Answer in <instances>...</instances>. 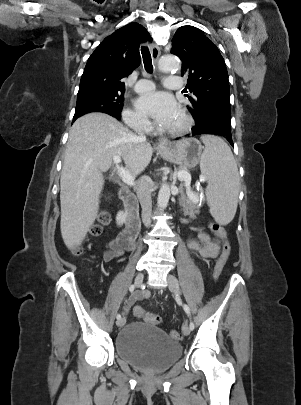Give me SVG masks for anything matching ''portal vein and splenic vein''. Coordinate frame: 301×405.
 Listing matches in <instances>:
<instances>
[{"label": "portal vein and splenic vein", "instance_id": "1", "mask_svg": "<svg viewBox=\"0 0 301 405\" xmlns=\"http://www.w3.org/2000/svg\"><path fill=\"white\" fill-rule=\"evenodd\" d=\"M113 162L116 165V170H117V174L118 176L122 179V181L127 184L128 186H134V176L127 171L123 166H120V162H121V157L120 156H114L113 158ZM177 177L178 180L180 181H185L187 184H190L191 181V175L187 172V171H179L177 172ZM204 179H201V181H203ZM187 194L189 196V198L194 201V202H199V197L194 194L190 188H187Z\"/></svg>", "mask_w": 301, "mask_h": 405}]
</instances>
